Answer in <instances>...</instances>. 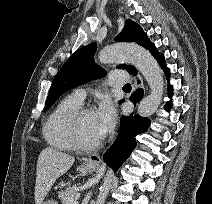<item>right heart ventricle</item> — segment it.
Returning <instances> with one entry per match:
<instances>
[{"label": "right heart ventricle", "instance_id": "e07e8e85", "mask_svg": "<svg viewBox=\"0 0 212 204\" xmlns=\"http://www.w3.org/2000/svg\"><path fill=\"white\" fill-rule=\"evenodd\" d=\"M81 104L74 96H68L63 98L49 114L43 125L42 135L51 148L58 151L74 149L66 136L64 122L66 117Z\"/></svg>", "mask_w": 212, "mask_h": 204}]
</instances>
